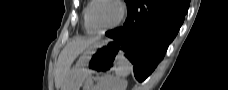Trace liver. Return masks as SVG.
Listing matches in <instances>:
<instances>
[{"mask_svg":"<svg viewBox=\"0 0 228 90\" xmlns=\"http://www.w3.org/2000/svg\"><path fill=\"white\" fill-rule=\"evenodd\" d=\"M100 37L82 38L76 37L69 41L61 51L55 71V86L57 90L67 82V75L74 60L92 45L96 44Z\"/></svg>","mask_w":228,"mask_h":90,"instance_id":"1","label":"liver"}]
</instances>
